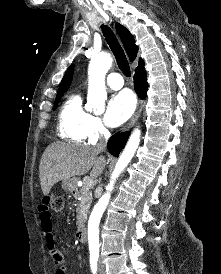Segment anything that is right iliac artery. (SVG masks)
<instances>
[{
  "mask_svg": "<svg viewBox=\"0 0 221 274\" xmlns=\"http://www.w3.org/2000/svg\"><path fill=\"white\" fill-rule=\"evenodd\" d=\"M98 256H90V266L93 274L97 273Z\"/></svg>",
  "mask_w": 221,
  "mask_h": 274,
  "instance_id": "obj_1",
  "label": "right iliac artery"
}]
</instances>
